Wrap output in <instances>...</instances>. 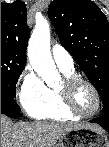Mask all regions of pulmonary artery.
<instances>
[{
	"label": "pulmonary artery",
	"instance_id": "obj_1",
	"mask_svg": "<svg viewBox=\"0 0 109 147\" xmlns=\"http://www.w3.org/2000/svg\"><path fill=\"white\" fill-rule=\"evenodd\" d=\"M52 56L57 67L63 71L74 70V60L70 53L62 46L56 44L52 48Z\"/></svg>",
	"mask_w": 109,
	"mask_h": 147
}]
</instances>
